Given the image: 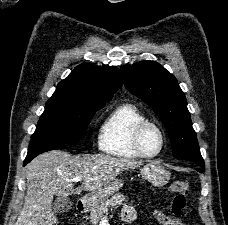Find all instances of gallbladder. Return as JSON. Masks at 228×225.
Returning <instances> with one entry per match:
<instances>
[{
	"mask_svg": "<svg viewBox=\"0 0 228 225\" xmlns=\"http://www.w3.org/2000/svg\"><path fill=\"white\" fill-rule=\"evenodd\" d=\"M72 207L73 203L67 197H57L54 201L55 213H68Z\"/></svg>",
	"mask_w": 228,
	"mask_h": 225,
	"instance_id": "bac80fb5",
	"label": "gallbladder"
}]
</instances>
